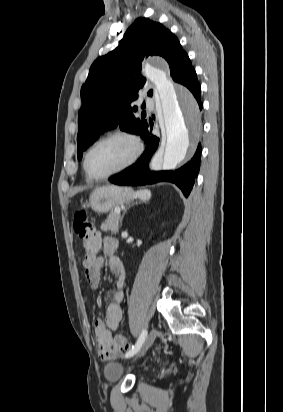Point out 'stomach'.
<instances>
[{
	"mask_svg": "<svg viewBox=\"0 0 283 412\" xmlns=\"http://www.w3.org/2000/svg\"><path fill=\"white\" fill-rule=\"evenodd\" d=\"M135 198L132 189L108 185L96 188L89 197V206L96 213H108L114 207L129 203Z\"/></svg>",
	"mask_w": 283,
	"mask_h": 412,
	"instance_id": "stomach-1",
	"label": "stomach"
}]
</instances>
